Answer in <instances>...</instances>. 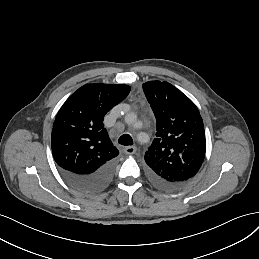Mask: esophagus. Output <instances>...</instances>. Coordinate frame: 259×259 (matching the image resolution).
Masks as SVG:
<instances>
[{
    "instance_id": "esophagus-1",
    "label": "esophagus",
    "mask_w": 259,
    "mask_h": 259,
    "mask_svg": "<svg viewBox=\"0 0 259 259\" xmlns=\"http://www.w3.org/2000/svg\"><path fill=\"white\" fill-rule=\"evenodd\" d=\"M137 152V147L136 146H128L124 148V153L125 154H135Z\"/></svg>"
}]
</instances>
